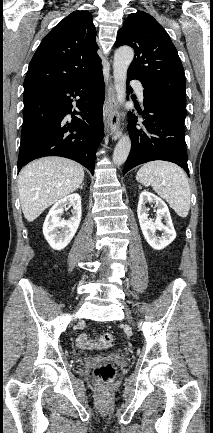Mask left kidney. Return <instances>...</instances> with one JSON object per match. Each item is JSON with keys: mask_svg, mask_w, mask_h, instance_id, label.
<instances>
[{"mask_svg": "<svg viewBox=\"0 0 213 433\" xmlns=\"http://www.w3.org/2000/svg\"><path fill=\"white\" fill-rule=\"evenodd\" d=\"M147 202L155 203L157 206L155 222L148 220V212L145 206ZM137 214L142 233L153 249L162 250L176 238V231L172 223L169 209L166 203L158 196L143 191L139 196ZM162 218L165 219L166 225L161 222ZM156 230L163 231L160 237L155 236Z\"/></svg>", "mask_w": 213, "mask_h": 433, "instance_id": "left-kidney-1", "label": "left kidney"}]
</instances>
